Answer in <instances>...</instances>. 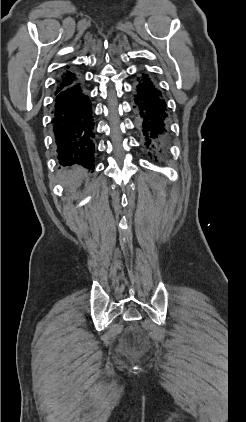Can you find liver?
Returning <instances> with one entry per match:
<instances>
[{
  "label": "liver",
  "mask_w": 246,
  "mask_h": 422,
  "mask_svg": "<svg viewBox=\"0 0 246 422\" xmlns=\"http://www.w3.org/2000/svg\"><path fill=\"white\" fill-rule=\"evenodd\" d=\"M59 174L62 183L68 188V191L73 192L81 185L86 171L80 166H74L71 170H66Z\"/></svg>",
  "instance_id": "obj_1"
}]
</instances>
